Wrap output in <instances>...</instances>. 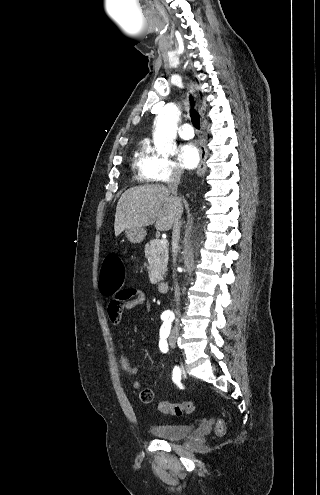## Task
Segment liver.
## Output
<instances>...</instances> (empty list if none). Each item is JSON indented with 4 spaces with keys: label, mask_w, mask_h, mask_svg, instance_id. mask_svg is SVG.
Here are the masks:
<instances>
[{
    "label": "liver",
    "mask_w": 320,
    "mask_h": 495,
    "mask_svg": "<svg viewBox=\"0 0 320 495\" xmlns=\"http://www.w3.org/2000/svg\"><path fill=\"white\" fill-rule=\"evenodd\" d=\"M181 200L163 185L139 186L126 190L120 197L115 213L114 230L118 236L132 227L155 223L158 231H168L182 215Z\"/></svg>",
    "instance_id": "6515ba94"
}]
</instances>
